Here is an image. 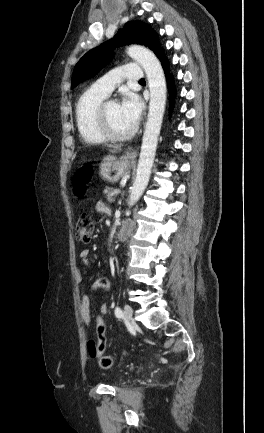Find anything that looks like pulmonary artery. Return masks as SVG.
Wrapping results in <instances>:
<instances>
[{
    "mask_svg": "<svg viewBox=\"0 0 264 433\" xmlns=\"http://www.w3.org/2000/svg\"><path fill=\"white\" fill-rule=\"evenodd\" d=\"M143 69L135 64H126L111 70L92 84V89L105 96L112 93L115 87L123 80H141Z\"/></svg>",
    "mask_w": 264,
    "mask_h": 433,
    "instance_id": "obj_1",
    "label": "pulmonary artery"
}]
</instances>
